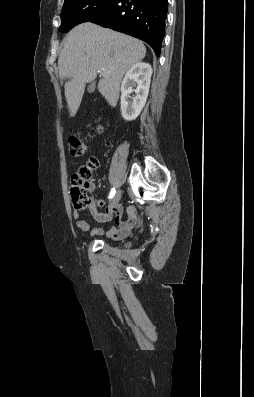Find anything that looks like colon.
<instances>
[{
  "label": "colon",
  "instance_id": "5ec220e1",
  "mask_svg": "<svg viewBox=\"0 0 254 397\" xmlns=\"http://www.w3.org/2000/svg\"><path fill=\"white\" fill-rule=\"evenodd\" d=\"M100 131L104 129L101 125L98 127ZM87 150L86 144L78 136L69 137V151L71 155L79 157ZM98 166L95 158H91L85 165L81 166L77 173L72 175L70 194L73 205L76 209H85L91 207L93 199L89 195L90 180L93 170Z\"/></svg>",
  "mask_w": 254,
  "mask_h": 397
}]
</instances>
